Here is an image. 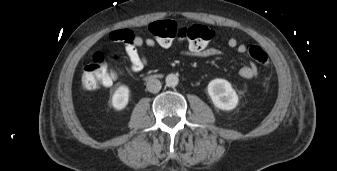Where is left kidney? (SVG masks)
Segmentation results:
<instances>
[{
  "mask_svg": "<svg viewBox=\"0 0 337 171\" xmlns=\"http://www.w3.org/2000/svg\"><path fill=\"white\" fill-rule=\"evenodd\" d=\"M208 94L213 104L221 110H232L238 104V95L230 82L225 79H214L208 84Z\"/></svg>",
  "mask_w": 337,
  "mask_h": 171,
  "instance_id": "5707ae66",
  "label": "left kidney"
}]
</instances>
